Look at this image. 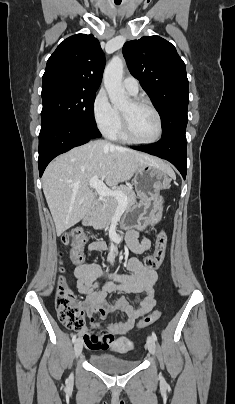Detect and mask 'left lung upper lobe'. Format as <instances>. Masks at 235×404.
<instances>
[{
	"mask_svg": "<svg viewBox=\"0 0 235 404\" xmlns=\"http://www.w3.org/2000/svg\"><path fill=\"white\" fill-rule=\"evenodd\" d=\"M123 54L131 74L140 81L162 117L163 136L185 132L188 79L174 45L156 35L145 36L125 43Z\"/></svg>",
	"mask_w": 235,
	"mask_h": 404,
	"instance_id": "left-lung-upper-lobe-1",
	"label": "left lung upper lobe"
}]
</instances>
